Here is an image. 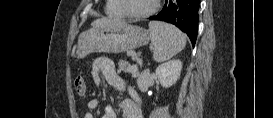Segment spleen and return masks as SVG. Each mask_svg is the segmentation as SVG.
I'll return each mask as SVG.
<instances>
[{"instance_id":"3e777b00","label":"spleen","mask_w":273,"mask_h":118,"mask_svg":"<svg viewBox=\"0 0 273 118\" xmlns=\"http://www.w3.org/2000/svg\"><path fill=\"white\" fill-rule=\"evenodd\" d=\"M149 31L156 62L169 60L186 45L185 35L173 25L152 21L149 22Z\"/></svg>"}]
</instances>
